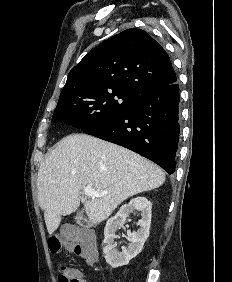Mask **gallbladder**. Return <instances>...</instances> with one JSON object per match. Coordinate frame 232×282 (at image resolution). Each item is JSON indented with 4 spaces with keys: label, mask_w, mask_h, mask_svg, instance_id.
I'll return each mask as SVG.
<instances>
[{
    "label": "gallbladder",
    "mask_w": 232,
    "mask_h": 282,
    "mask_svg": "<svg viewBox=\"0 0 232 282\" xmlns=\"http://www.w3.org/2000/svg\"><path fill=\"white\" fill-rule=\"evenodd\" d=\"M75 221L77 224L79 225H83L87 222V220L84 218L82 212H79L76 217H75Z\"/></svg>",
    "instance_id": "1"
}]
</instances>
